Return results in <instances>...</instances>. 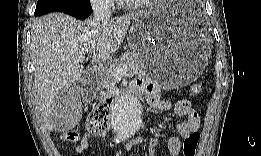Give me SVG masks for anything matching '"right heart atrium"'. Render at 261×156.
<instances>
[{
  "label": "right heart atrium",
  "instance_id": "obj_1",
  "mask_svg": "<svg viewBox=\"0 0 261 156\" xmlns=\"http://www.w3.org/2000/svg\"><path fill=\"white\" fill-rule=\"evenodd\" d=\"M96 6L99 8L112 10L115 6V2L112 0L99 1L96 3Z\"/></svg>",
  "mask_w": 261,
  "mask_h": 156
}]
</instances>
